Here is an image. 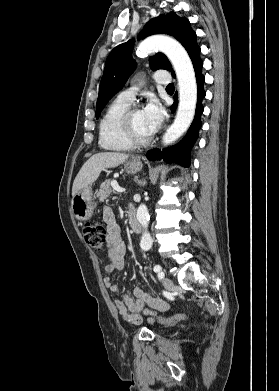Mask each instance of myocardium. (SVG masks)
I'll use <instances>...</instances> for the list:
<instances>
[{"instance_id":"1","label":"myocardium","mask_w":279,"mask_h":391,"mask_svg":"<svg viewBox=\"0 0 279 391\" xmlns=\"http://www.w3.org/2000/svg\"><path fill=\"white\" fill-rule=\"evenodd\" d=\"M140 109L141 107L139 104H131L121 117L123 134L132 146H144L153 140V134L147 137H140L134 129L132 117L133 114Z\"/></svg>"}]
</instances>
